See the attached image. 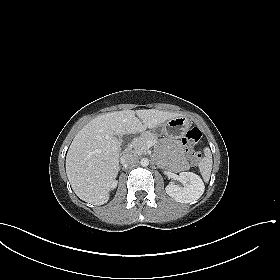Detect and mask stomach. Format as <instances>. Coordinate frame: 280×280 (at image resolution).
Returning a JSON list of instances; mask_svg holds the SVG:
<instances>
[{"label": "stomach", "instance_id": "1", "mask_svg": "<svg viewBox=\"0 0 280 280\" xmlns=\"http://www.w3.org/2000/svg\"><path fill=\"white\" fill-rule=\"evenodd\" d=\"M189 120L184 116L169 119L162 125V132L171 138H180L189 128Z\"/></svg>", "mask_w": 280, "mask_h": 280}]
</instances>
